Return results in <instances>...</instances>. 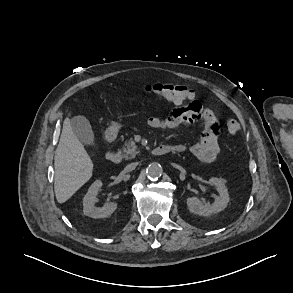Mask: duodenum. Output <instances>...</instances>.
<instances>
[{
	"mask_svg": "<svg viewBox=\"0 0 293 293\" xmlns=\"http://www.w3.org/2000/svg\"><path fill=\"white\" fill-rule=\"evenodd\" d=\"M108 143H113V138L111 137H107ZM178 150V148L174 145H161V146H157L154 147L151 150V153L155 156H160V155H164L166 153H170V152H176ZM108 160L114 164H118L122 161V155L120 153L117 152H109L108 153Z\"/></svg>",
	"mask_w": 293,
	"mask_h": 293,
	"instance_id": "410a0bca",
	"label": "duodenum"
}]
</instances>
